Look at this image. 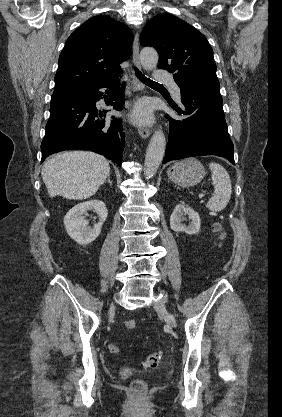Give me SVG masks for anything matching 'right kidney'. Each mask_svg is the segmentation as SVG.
<instances>
[{
	"instance_id": "1",
	"label": "right kidney",
	"mask_w": 282,
	"mask_h": 417,
	"mask_svg": "<svg viewBox=\"0 0 282 417\" xmlns=\"http://www.w3.org/2000/svg\"><path fill=\"white\" fill-rule=\"evenodd\" d=\"M86 211H96L99 215V223L94 225L93 229L88 227V221H85L84 217H81ZM108 211L106 204L103 200H85V202H79L75 204L73 209H70L64 217L65 229L78 245H89L92 241L97 239L101 233L102 225L106 221Z\"/></svg>"
}]
</instances>
